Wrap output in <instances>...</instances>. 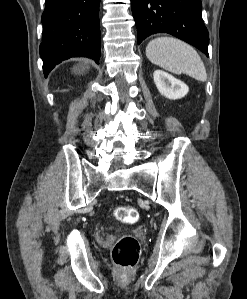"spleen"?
<instances>
[{
    "label": "spleen",
    "mask_w": 247,
    "mask_h": 299,
    "mask_svg": "<svg viewBox=\"0 0 247 299\" xmlns=\"http://www.w3.org/2000/svg\"><path fill=\"white\" fill-rule=\"evenodd\" d=\"M149 61L175 74L185 73L190 77L205 82V65L197 51L189 44L172 38L158 37L146 47Z\"/></svg>",
    "instance_id": "spleen-1"
}]
</instances>
